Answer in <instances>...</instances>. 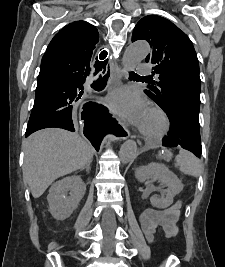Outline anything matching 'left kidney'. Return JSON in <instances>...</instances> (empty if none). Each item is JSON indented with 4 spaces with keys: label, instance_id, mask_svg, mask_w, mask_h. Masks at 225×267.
Listing matches in <instances>:
<instances>
[{
    "label": "left kidney",
    "instance_id": "left-kidney-1",
    "mask_svg": "<svg viewBox=\"0 0 225 267\" xmlns=\"http://www.w3.org/2000/svg\"><path fill=\"white\" fill-rule=\"evenodd\" d=\"M135 178L139 182H144L149 179L158 180L167 187V194L165 196L150 197L152 206L160 209L169 207L173 203L174 197L183 189V185L178 177L162 164L150 163L137 168L135 170Z\"/></svg>",
    "mask_w": 225,
    "mask_h": 267
}]
</instances>
